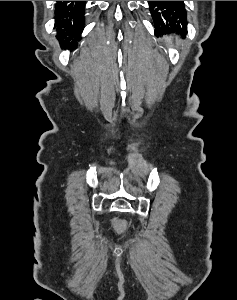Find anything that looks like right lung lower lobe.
Instances as JSON below:
<instances>
[{
    "label": "right lung lower lobe",
    "mask_w": 237,
    "mask_h": 300,
    "mask_svg": "<svg viewBox=\"0 0 237 300\" xmlns=\"http://www.w3.org/2000/svg\"><path fill=\"white\" fill-rule=\"evenodd\" d=\"M86 1H57L55 27L62 47L75 48L84 27Z\"/></svg>",
    "instance_id": "right-lung-lower-lobe-1"
}]
</instances>
